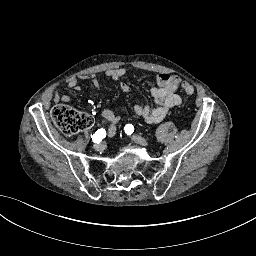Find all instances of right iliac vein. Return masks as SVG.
Wrapping results in <instances>:
<instances>
[{"label": "right iliac vein", "mask_w": 256, "mask_h": 256, "mask_svg": "<svg viewBox=\"0 0 256 256\" xmlns=\"http://www.w3.org/2000/svg\"><path fill=\"white\" fill-rule=\"evenodd\" d=\"M94 149L96 151H103L105 149V145L104 143H97L94 145Z\"/></svg>", "instance_id": "63e3f726"}]
</instances>
